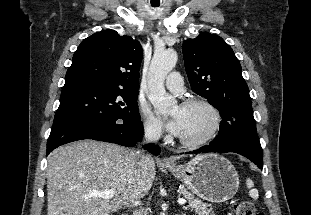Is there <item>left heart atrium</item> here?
<instances>
[{
    "mask_svg": "<svg viewBox=\"0 0 311 215\" xmlns=\"http://www.w3.org/2000/svg\"><path fill=\"white\" fill-rule=\"evenodd\" d=\"M166 128L173 135L180 136L183 127V121L179 114L172 116L165 122Z\"/></svg>",
    "mask_w": 311,
    "mask_h": 215,
    "instance_id": "39dd6f15",
    "label": "left heart atrium"
}]
</instances>
